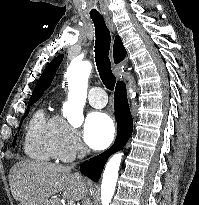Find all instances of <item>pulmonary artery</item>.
I'll use <instances>...</instances> for the list:
<instances>
[{
  "label": "pulmonary artery",
  "instance_id": "pulmonary-artery-1",
  "mask_svg": "<svg viewBox=\"0 0 199 205\" xmlns=\"http://www.w3.org/2000/svg\"><path fill=\"white\" fill-rule=\"evenodd\" d=\"M89 103L94 108H103L107 103L104 90L100 87L92 88L89 93Z\"/></svg>",
  "mask_w": 199,
  "mask_h": 205
}]
</instances>
